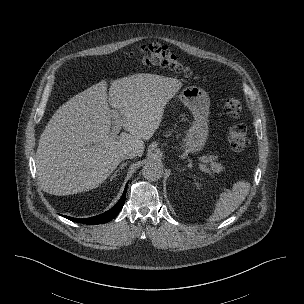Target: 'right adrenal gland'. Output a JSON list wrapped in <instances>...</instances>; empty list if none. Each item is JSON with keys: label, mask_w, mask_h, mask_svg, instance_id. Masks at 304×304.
Returning <instances> with one entry per match:
<instances>
[{"label": "right adrenal gland", "mask_w": 304, "mask_h": 304, "mask_svg": "<svg viewBox=\"0 0 304 304\" xmlns=\"http://www.w3.org/2000/svg\"><path fill=\"white\" fill-rule=\"evenodd\" d=\"M127 165V162L126 163H122L121 165H120V167L114 172V174L111 176V178H110V181H112L116 176H117V173L121 170V169H123L124 168V166H126Z\"/></svg>", "instance_id": "obj_1"}]
</instances>
